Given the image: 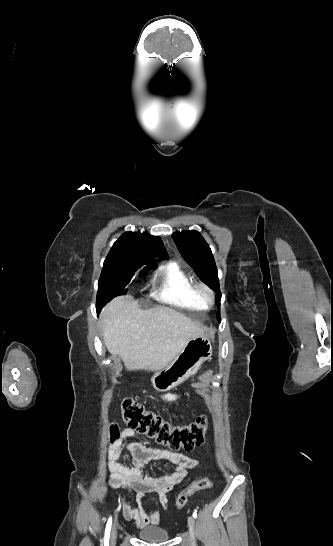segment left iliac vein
Returning <instances> with one entry per match:
<instances>
[{
  "mask_svg": "<svg viewBox=\"0 0 333 546\" xmlns=\"http://www.w3.org/2000/svg\"><path fill=\"white\" fill-rule=\"evenodd\" d=\"M188 528L190 533L191 546H196L195 542V520L192 516L188 518Z\"/></svg>",
  "mask_w": 333,
  "mask_h": 546,
  "instance_id": "obj_1",
  "label": "left iliac vein"
}]
</instances>
